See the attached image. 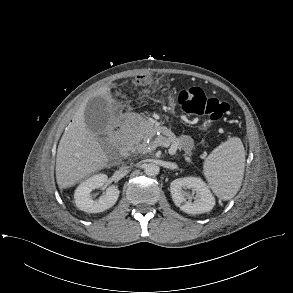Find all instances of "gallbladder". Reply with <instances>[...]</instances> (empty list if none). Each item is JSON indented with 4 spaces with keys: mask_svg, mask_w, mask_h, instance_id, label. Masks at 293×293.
I'll return each instance as SVG.
<instances>
[{
    "mask_svg": "<svg viewBox=\"0 0 293 293\" xmlns=\"http://www.w3.org/2000/svg\"><path fill=\"white\" fill-rule=\"evenodd\" d=\"M84 118L88 129L94 133H104L111 121L109 102L99 96L91 98L86 104Z\"/></svg>",
    "mask_w": 293,
    "mask_h": 293,
    "instance_id": "bac80fb5",
    "label": "gallbladder"
}]
</instances>
